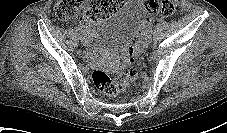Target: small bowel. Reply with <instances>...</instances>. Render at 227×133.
<instances>
[{
    "instance_id": "small-bowel-1",
    "label": "small bowel",
    "mask_w": 227,
    "mask_h": 133,
    "mask_svg": "<svg viewBox=\"0 0 227 133\" xmlns=\"http://www.w3.org/2000/svg\"><path fill=\"white\" fill-rule=\"evenodd\" d=\"M81 27L84 29V32L87 35H91L92 34L93 28H92L91 24H85V23L81 22Z\"/></svg>"
}]
</instances>
